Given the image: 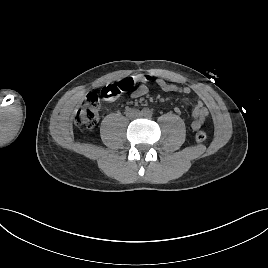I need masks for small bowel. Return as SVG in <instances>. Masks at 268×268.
<instances>
[{
	"instance_id": "obj_1",
	"label": "small bowel",
	"mask_w": 268,
	"mask_h": 268,
	"mask_svg": "<svg viewBox=\"0 0 268 268\" xmlns=\"http://www.w3.org/2000/svg\"><path fill=\"white\" fill-rule=\"evenodd\" d=\"M136 79V82L139 83V85L131 92L130 97L132 99H137L142 96H145L149 92V86H148V77L144 75H138L134 77ZM156 84L166 92H176L184 95H188L191 93V88L188 86H178L172 82L166 81L162 78L156 79ZM176 112H179V109H175ZM209 115V111L204 105V103L201 100H198L193 108L192 111V121H191V128L192 130H198L201 128V126L204 124L206 118Z\"/></svg>"
}]
</instances>
